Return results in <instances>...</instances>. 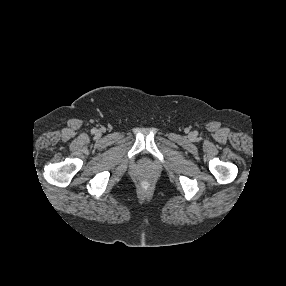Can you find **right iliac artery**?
<instances>
[{"label":"right iliac artery","mask_w":286,"mask_h":286,"mask_svg":"<svg viewBox=\"0 0 286 286\" xmlns=\"http://www.w3.org/2000/svg\"><path fill=\"white\" fill-rule=\"evenodd\" d=\"M95 131H96V129H92V130H91L92 133H95Z\"/></svg>","instance_id":"1"}]
</instances>
